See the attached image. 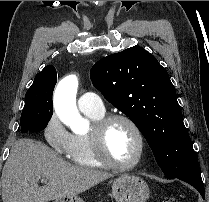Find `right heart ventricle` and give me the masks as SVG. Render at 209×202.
Masks as SVG:
<instances>
[{"mask_svg": "<svg viewBox=\"0 0 209 202\" xmlns=\"http://www.w3.org/2000/svg\"><path fill=\"white\" fill-rule=\"evenodd\" d=\"M88 118L96 122L104 117V113L98 114L94 112H83ZM66 157L73 163L88 167V168H99L103 167V164L96 158L89 134H75L72 135V142Z\"/></svg>", "mask_w": 209, "mask_h": 202, "instance_id": "right-heart-ventricle-1", "label": "right heart ventricle"}]
</instances>
